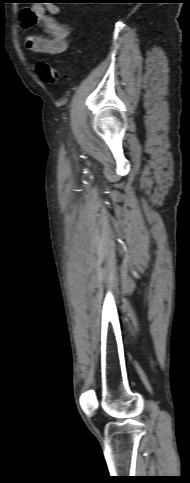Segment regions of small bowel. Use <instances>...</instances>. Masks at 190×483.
Returning <instances> with one entry per match:
<instances>
[{
    "instance_id": "c3829d8e",
    "label": "small bowel",
    "mask_w": 190,
    "mask_h": 483,
    "mask_svg": "<svg viewBox=\"0 0 190 483\" xmlns=\"http://www.w3.org/2000/svg\"><path fill=\"white\" fill-rule=\"evenodd\" d=\"M59 11L60 8L54 5L36 4L21 12L20 20L24 27L41 26L45 33L26 36L25 45L30 52L55 57L68 49L69 28L57 20L55 14Z\"/></svg>"
}]
</instances>
